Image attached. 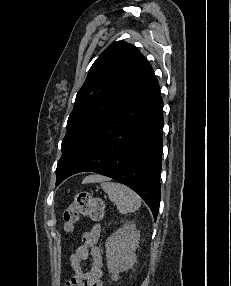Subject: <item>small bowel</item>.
<instances>
[{
    "instance_id": "1",
    "label": "small bowel",
    "mask_w": 231,
    "mask_h": 286,
    "mask_svg": "<svg viewBox=\"0 0 231 286\" xmlns=\"http://www.w3.org/2000/svg\"><path fill=\"white\" fill-rule=\"evenodd\" d=\"M100 234L99 224H95L83 234L81 244L69 259L73 276L67 281L66 286H103L102 254L97 246ZM89 257L91 258L89 268L84 271L82 263Z\"/></svg>"
}]
</instances>
